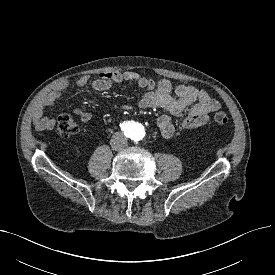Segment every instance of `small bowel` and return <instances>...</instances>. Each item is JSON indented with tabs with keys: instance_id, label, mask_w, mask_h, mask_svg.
Returning a JSON list of instances; mask_svg holds the SVG:
<instances>
[{
	"instance_id": "small-bowel-1",
	"label": "small bowel",
	"mask_w": 275,
	"mask_h": 275,
	"mask_svg": "<svg viewBox=\"0 0 275 275\" xmlns=\"http://www.w3.org/2000/svg\"><path fill=\"white\" fill-rule=\"evenodd\" d=\"M122 82H134L147 90L139 101L141 108H161L168 112L157 121L160 132L166 139L171 138L175 133L171 116H180L188 111V115L181 123V128L191 130L205 125L209 120V114L221 107L219 101L211 97L205 90L186 84H179L173 88L171 82L167 79L155 82L153 79L133 71L102 73L98 79L91 83V88L94 91H105L112 85ZM88 83L89 78L86 75L79 76L76 80L78 87H85ZM67 88L68 83L61 81L45 95L33 119L37 130H52L54 128L55 119L47 116L46 110L54 105L55 101L66 92ZM172 92L175 93L177 98L172 97ZM76 113L83 122H89L92 118L91 113L85 110H76Z\"/></svg>"
}]
</instances>
